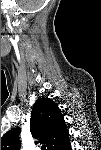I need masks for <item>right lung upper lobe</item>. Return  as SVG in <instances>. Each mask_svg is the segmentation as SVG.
<instances>
[{
    "label": "right lung upper lobe",
    "instance_id": "right-lung-upper-lobe-1",
    "mask_svg": "<svg viewBox=\"0 0 101 150\" xmlns=\"http://www.w3.org/2000/svg\"><path fill=\"white\" fill-rule=\"evenodd\" d=\"M30 131L33 137L43 138L48 150H63L69 142V132L57 104L47 98L36 100L31 111ZM19 128L9 130L1 138V150H19Z\"/></svg>",
    "mask_w": 101,
    "mask_h": 150
}]
</instances>
